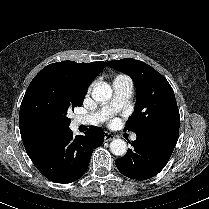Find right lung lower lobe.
I'll return each mask as SVG.
<instances>
[{
    "instance_id": "1",
    "label": "right lung lower lobe",
    "mask_w": 209,
    "mask_h": 209,
    "mask_svg": "<svg viewBox=\"0 0 209 209\" xmlns=\"http://www.w3.org/2000/svg\"><path fill=\"white\" fill-rule=\"evenodd\" d=\"M102 143L103 132L96 126L91 127L85 136L76 137L67 129L29 157L47 179L71 183L86 172L93 149Z\"/></svg>"
}]
</instances>
